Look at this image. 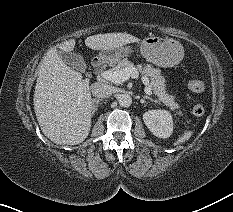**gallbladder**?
I'll use <instances>...</instances> for the list:
<instances>
[{
  "instance_id": "obj_1",
  "label": "gallbladder",
  "mask_w": 233,
  "mask_h": 212,
  "mask_svg": "<svg viewBox=\"0 0 233 212\" xmlns=\"http://www.w3.org/2000/svg\"><path fill=\"white\" fill-rule=\"evenodd\" d=\"M59 56L66 64L77 70L83 71L87 67L83 57L74 52H59Z\"/></svg>"
}]
</instances>
